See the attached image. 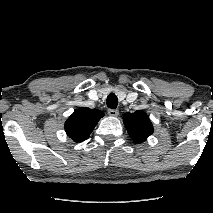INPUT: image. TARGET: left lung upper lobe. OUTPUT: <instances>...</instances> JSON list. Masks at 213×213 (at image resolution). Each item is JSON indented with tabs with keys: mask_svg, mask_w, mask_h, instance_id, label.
Masks as SVG:
<instances>
[{
	"mask_svg": "<svg viewBox=\"0 0 213 213\" xmlns=\"http://www.w3.org/2000/svg\"><path fill=\"white\" fill-rule=\"evenodd\" d=\"M123 122L135 143L144 142L153 133L152 123L144 111L124 114Z\"/></svg>",
	"mask_w": 213,
	"mask_h": 213,
	"instance_id": "1",
	"label": "left lung upper lobe"
}]
</instances>
